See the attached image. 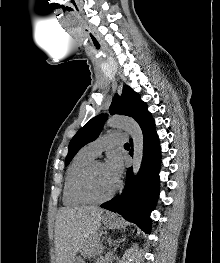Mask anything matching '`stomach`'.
Returning a JSON list of instances; mask_svg holds the SVG:
<instances>
[{"label":"stomach","mask_w":220,"mask_h":263,"mask_svg":"<svg viewBox=\"0 0 220 263\" xmlns=\"http://www.w3.org/2000/svg\"><path fill=\"white\" fill-rule=\"evenodd\" d=\"M102 222L106 227L111 228V229L119 228L121 226L120 219L114 214L103 216ZM72 263H84V262L81 257H76Z\"/></svg>","instance_id":"stomach-1"}]
</instances>
